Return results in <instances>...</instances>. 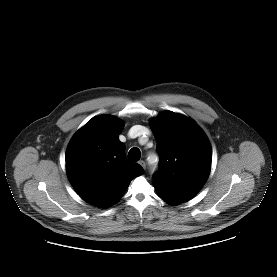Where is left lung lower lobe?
Wrapping results in <instances>:
<instances>
[{
  "mask_svg": "<svg viewBox=\"0 0 277 277\" xmlns=\"http://www.w3.org/2000/svg\"><path fill=\"white\" fill-rule=\"evenodd\" d=\"M155 189L157 191L158 196L170 205H177L190 199L189 197L169 193L157 187H155Z\"/></svg>",
  "mask_w": 277,
  "mask_h": 277,
  "instance_id": "1",
  "label": "left lung lower lobe"
}]
</instances>
